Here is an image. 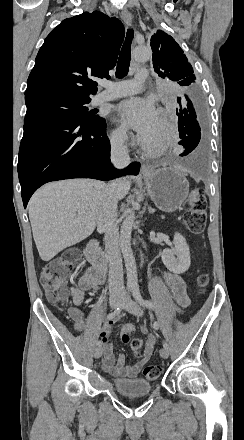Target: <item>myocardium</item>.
I'll list each match as a JSON object with an SVG mask.
<instances>
[{"label": "myocardium", "instance_id": "1", "mask_svg": "<svg viewBox=\"0 0 244 440\" xmlns=\"http://www.w3.org/2000/svg\"><path fill=\"white\" fill-rule=\"evenodd\" d=\"M157 114H160V115L163 116V120H164V123H165L166 128H167L168 125H169V119H170V114H169V112L166 111L165 109H159V110L157 111ZM162 137H163V136H162ZM162 137H160L159 139H157L156 142L160 141V140L162 139Z\"/></svg>", "mask_w": 244, "mask_h": 440}]
</instances>
